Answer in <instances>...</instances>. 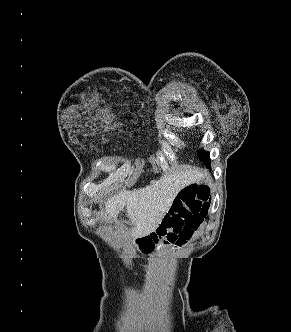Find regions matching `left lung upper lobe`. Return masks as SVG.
<instances>
[{
  "label": "left lung upper lobe",
  "instance_id": "left-lung-upper-lobe-1",
  "mask_svg": "<svg viewBox=\"0 0 291 332\" xmlns=\"http://www.w3.org/2000/svg\"><path fill=\"white\" fill-rule=\"evenodd\" d=\"M198 156L201 158V160L210 167V158H209V152H206L204 150L198 151Z\"/></svg>",
  "mask_w": 291,
  "mask_h": 332
}]
</instances>
